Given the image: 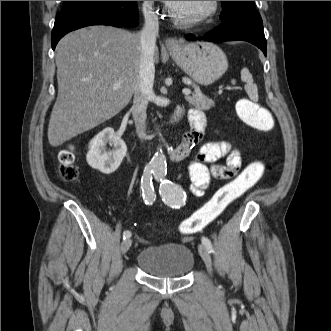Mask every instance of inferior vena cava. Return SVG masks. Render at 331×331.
<instances>
[{"label": "inferior vena cava", "instance_id": "602c4592", "mask_svg": "<svg viewBox=\"0 0 331 331\" xmlns=\"http://www.w3.org/2000/svg\"><path fill=\"white\" fill-rule=\"evenodd\" d=\"M145 24L140 32L141 60L139 80L135 87L132 106V116L135 122L136 131L142 139L145 135V122L147 118L146 109L148 101L153 94L154 83V49L156 37L159 31L158 17L150 8L143 9Z\"/></svg>", "mask_w": 331, "mask_h": 331}]
</instances>
